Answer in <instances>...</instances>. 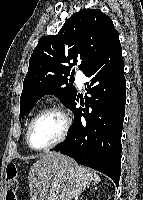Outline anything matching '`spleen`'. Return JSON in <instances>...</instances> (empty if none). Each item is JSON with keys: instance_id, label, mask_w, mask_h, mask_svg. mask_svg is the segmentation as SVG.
<instances>
[{"instance_id": "1", "label": "spleen", "mask_w": 143, "mask_h": 200, "mask_svg": "<svg viewBox=\"0 0 143 200\" xmlns=\"http://www.w3.org/2000/svg\"><path fill=\"white\" fill-rule=\"evenodd\" d=\"M101 181L100 177L94 173V182L99 183Z\"/></svg>"}]
</instances>
